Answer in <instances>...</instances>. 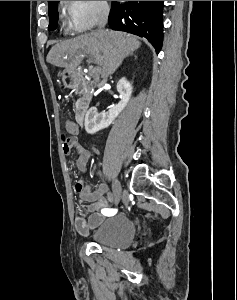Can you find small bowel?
Returning a JSON list of instances; mask_svg holds the SVG:
<instances>
[{
  "instance_id": "c3829d8e",
  "label": "small bowel",
  "mask_w": 237,
  "mask_h": 300,
  "mask_svg": "<svg viewBox=\"0 0 237 300\" xmlns=\"http://www.w3.org/2000/svg\"><path fill=\"white\" fill-rule=\"evenodd\" d=\"M65 128L68 133L77 135L79 127L73 121H67ZM66 154L69 151L64 150ZM77 159L75 161L77 169L81 172L82 177L75 184V191L80 195L83 202L87 203L85 210L79 212L74 221L76 231L81 235H86L92 228L99 225L104 217L107 216L103 210L108 206L115 204V194L110 192L106 184H100L95 191H92L88 182V160L90 152L82 147L77 149Z\"/></svg>"
}]
</instances>
